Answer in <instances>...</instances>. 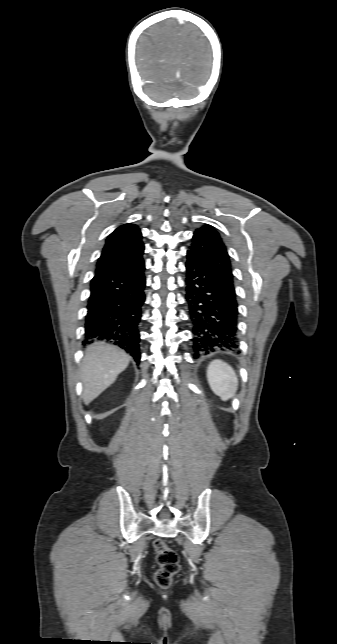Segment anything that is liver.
Returning a JSON list of instances; mask_svg holds the SVG:
<instances>
[{
	"instance_id": "1",
	"label": "liver",
	"mask_w": 337,
	"mask_h": 644,
	"mask_svg": "<svg viewBox=\"0 0 337 644\" xmlns=\"http://www.w3.org/2000/svg\"><path fill=\"white\" fill-rule=\"evenodd\" d=\"M129 362L130 356L116 346L104 342L88 346L80 371L84 403L88 405L113 384Z\"/></svg>"
}]
</instances>
